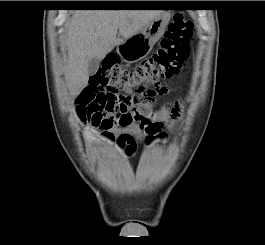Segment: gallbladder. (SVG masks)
<instances>
[{
  "label": "gallbladder",
  "mask_w": 265,
  "mask_h": 245,
  "mask_svg": "<svg viewBox=\"0 0 265 245\" xmlns=\"http://www.w3.org/2000/svg\"><path fill=\"white\" fill-rule=\"evenodd\" d=\"M99 64L100 60L98 58H93L89 61L87 71L90 76L94 75L97 72Z\"/></svg>",
  "instance_id": "1"
}]
</instances>
